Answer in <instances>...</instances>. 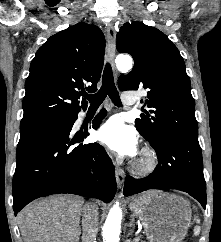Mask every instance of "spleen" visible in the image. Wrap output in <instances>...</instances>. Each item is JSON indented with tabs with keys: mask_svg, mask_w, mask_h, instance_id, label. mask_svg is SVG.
<instances>
[{
	"mask_svg": "<svg viewBox=\"0 0 221 242\" xmlns=\"http://www.w3.org/2000/svg\"><path fill=\"white\" fill-rule=\"evenodd\" d=\"M197 222L199 223V220H197ZM194 231H195V234L197 235V233H198V228L196 227Z\"/></svg>",
	"mask_w": 221,
	"mask_h": 242,
	"instance_id": "spleen-1",
	"label": "spleen"
}]
</instances>
